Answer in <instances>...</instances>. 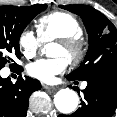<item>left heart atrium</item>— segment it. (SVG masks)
I'll list each match as a JSON object with an SVG mask.
<instances>
[{"label":"left heart atrium","instance_id":"39dd6f15","mask_svg":"<svg viewBox=\"0 0 117 117\" xmlns=\"http://www.w3.org/2000/svg\"><path fill=\"white\" fill-rule=\"evenodd\" d=\"M68 65V59L63 56L39 59L28 65L27 72L31 77L41 82L53 83L56 77L66 70Z\"/></svg>","mask_w":117,"mask_h":117}]
</instances>
